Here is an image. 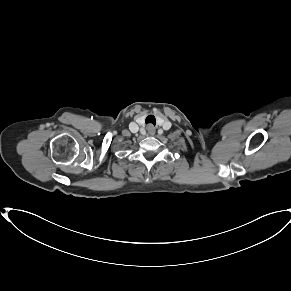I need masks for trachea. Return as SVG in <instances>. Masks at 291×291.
Returning <instances> with one entry per match:
<instances>
[{"label":"trachea","mask_w":291,"mask_h":291,"mask_svg":"<svg viewBox=\"0 0 291 291\" xmlns=\"http://www.w3.org/2000/svg\"><path fill=\"white\" fill-rule=\"evenodd\" d=\"M148 123H152V124L155 125V117L153 115L147 116V118H146V124H148Z\"/></svg>","instance_id":"3493384b"}]
</instances>
